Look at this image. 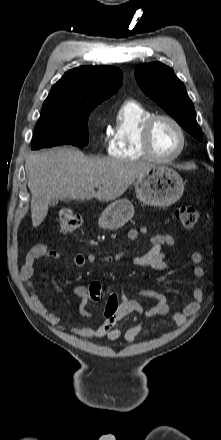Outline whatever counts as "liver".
<instances>
[{"instance_id":"6515ba94","label":"liver","mask_w":221,"mask_h":440,"mask_svg":"<svg viewBox=\"0 0 221 440\" xmlns=\"http://www.w3.org/2000/svg\"><path fill=\"white\" fill-rule=\"evenodd\" d=\"M33 227L39 226L52 200H114L154 165L142 161L88 158L74 148H54L26 158ZM98 187L95 192L94 188Z\"/></svg>"}]
</instances>
